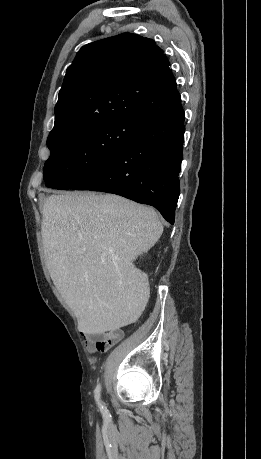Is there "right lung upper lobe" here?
Segmentation results:
<instances>
[{
    "mask_svg": "<svg viewBox=\"0 0 261 459\" xmlns=\"http://www.w3.org/2000/svg\"><path fill=\"white\" fill-rule=\"evenodd\" d=\"M163 50L123 33L83 46L67 68L50 136L80 133L115 120L147 122L181 103Z\"/></svg>",
    "mask_w": 261,
    "mask_h": 459,
    "instance_id": "obj_1",
    "label": "right lung upper lobe"
}]
</instances>
